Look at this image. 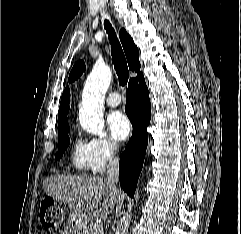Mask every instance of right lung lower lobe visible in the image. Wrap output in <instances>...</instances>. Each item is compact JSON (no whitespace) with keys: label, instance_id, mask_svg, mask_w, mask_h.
I'll use <instances>...</instances> for the list:
<instances>
[{"label":"right lung lower lobe","instance_id":"1","mask_svg":"<svg viewBox=\"0 0 241 234\" xmlns=\"http://www.w3.org/2000/svg\"><path fill=\"white\" fill-rule=\"evenodd\" d=\"M125 112L132 123L133 133L120 158L119 180L123 190L134 197L145 158L147 126L151 119L148 88L143 74L129 81Z\"/></svg>","mask_w":241,"mask_h":234}]
</instances>
